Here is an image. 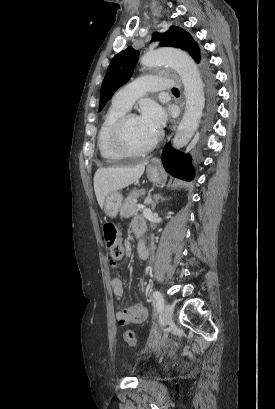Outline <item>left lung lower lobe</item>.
<instances>
[{
    "mask_svg": "<svg viewBox=\"0 0 275 409\" xmlns=\"http://www.w3.org/2000/svg\"><path fill=\"white\" fill-rule=\"evenodd\" d=\"M206 79L209 88V118L215 113V88L213 84V75L211 72H206ZM162 163L165 170L174 177L190 181L194 178L195 174L193 166L191 164V158L189 155H183L179 151L173 149L170 144H167L162 153Z\"/></svg>",
    "mask_w": 275,
    "mask_h": 409,
    "instance_id": "0a47b994",
    "label": "left lung lower lobe"
}]
</instances>
